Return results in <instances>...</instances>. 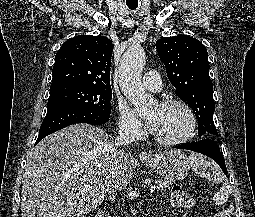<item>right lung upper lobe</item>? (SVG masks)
I'll return each instance as SVG.
<instances>
[{
	"label": "right lung upper lobe",
	"mask_w": 255,
	"mask_h": 217,
	"mask_svg": "<svg viewBox=\"0 0 255 217\" xmlns=\"http://www.w3.org/2000/svg\"><path fill=\"white\" fill-rule=\"evenodd\" d=\"M112 52V42L101 35H79L66 41L55 56L51 87L81 84L111 88Z\"/></svg>",
	"instance_id": "obj_1"
}]
</instances>
